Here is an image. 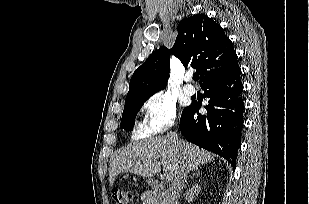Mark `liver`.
Here are the masks:
<instances>
[{
  "instance_id": "liver-1",
  "label": "liver",
  "mask_w": 309,
  "mask_h": 204,
  "mask_svg": "<svg viewBox=\"0 0 309 204\" xmlns=\"http://www.w3.org/2000/svg\"><path fill=\"white\" fill-rule=\"evenodd\" d=\"M174 178L180 163H187L189 170L214 160V155L192 143L179 140L174 144L168 137H154L130 143L122 149L111 164L109 183L112 186L120 173H132L143 177H152L161 171Z\"/></svg>"
}]
</instances>
